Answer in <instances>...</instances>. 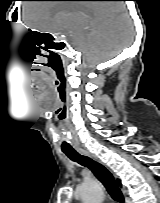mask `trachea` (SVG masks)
Returning <instances> with one entry per match:
<instances>
[{"label":"trachea","instance_id":"1","mask_svg":"<svg viewBox=\"0 0 160 203\" xmlns=\"http://www.w3.org/2000/svg\"><path fill=\"white\" fill-rule=\"evenodd\" d=\"M63 152L72 160L80 165L89 168L97 179L105 186L110 196L118 203H124V197L119 189L112 174L100 163L94 161L88 156L78 154L75 150H63Z\"/></svg>","mask_w":160,"mask_h":203}]
</instances>
